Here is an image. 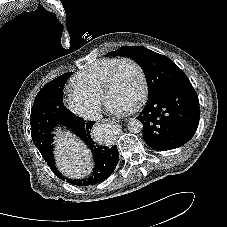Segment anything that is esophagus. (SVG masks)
Listing matches in <instances>:
<instances>
[{
  "mask_svg": "<svg viewBox=\"0 0 227 227\" xmlns=\"http://www.w3.org/2000/svg\"><path fill=\"white\" fill-rule=\"evenodd\" d=\"M110 124L112 126H116V127L120 128V125L116 121H111Z\"/></svg>",
  "mask_w": 227,
  "mask_h": 227,
  "instance_id": "esophagus-1",
  "label": "esophagus"
}]
</instances>
